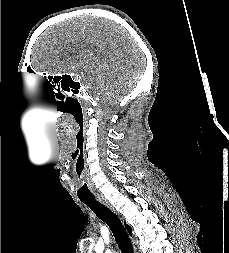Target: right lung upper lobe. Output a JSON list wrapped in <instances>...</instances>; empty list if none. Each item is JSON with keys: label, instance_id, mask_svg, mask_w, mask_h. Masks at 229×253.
Masks as SVG:
<instances>
[{"label": "right lung upper lobe", "instance_id": "right-lung-upper-lobe-1", "mask_svg": "<svg viewBox=\"0 0 229 253\" xmlns=\"http://www.w3.org/2000/svg\"><path fill=\"white\" fill-rule=\"evenodd\" d=\"M125 227H126L127 231L129 232V234L131 235L132 234L131 227L128 226L127 224H125Z\"/></svg>", "mask_w": 229, "mask_h": 253}]
</instances>
